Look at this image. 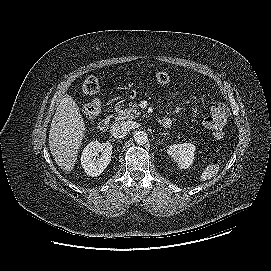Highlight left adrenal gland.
<instances>
[{
  "instance_id": "left-adrenal-gland-1",
  "label": "left adrenal gland",
  "mask_w": 271,
  "mask_h": 271,
  "mask_svg": "<svg viewBox=\"0 0 271 271\" xmlns=\"http://www.w3.org/2000/svg\"><path fill=\"white\" fill-rule=\"evenodd\" d=\"M161 135H168V133H162Z\"/></svg>"
}]
</instances>
